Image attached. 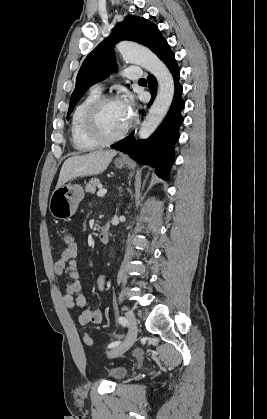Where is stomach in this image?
<instances>
[{"label":"stomach","instance_id":"0dacf381","mask_svg":"<svg viewBox=\"0 0 267 419\" xmlns=\"http://www.w3.org/2000/svg\"><path fill=\"white\" fill-rule=\"evenodd\" d=\"M114 163L119 169L125 166V162L119 159H116ZM83 197L84 191L80 185L64 184L53 191L50 197L49 211L56 219H68L75 214Z\"/></svg>","mask_w":267,"mask_h":419}]
</instances>
